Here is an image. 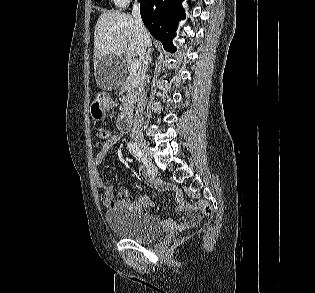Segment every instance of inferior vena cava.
<instances>
[{
  "label": "inferior vena cava",
  "instance_id": "1",
  "mask_svg": "<svg viewBox=\"0 0 315 293\" xmlns=\"http://www.w3.org/2000/svg\"><path fill=\"white\" fill-rule=\"evenodd\" d=\"M132 16L134 18L135 33L138 43L139 61H138V72H137V84H138V106L134 115V124L132 134H141L143 130V103L146 97L145 89V76H146V63H145V28L142 22L139 3L136 2L132 9Z\"/></svg>",
  "mask_w": 315,
  "mask_h": 293
}]
</instances>
